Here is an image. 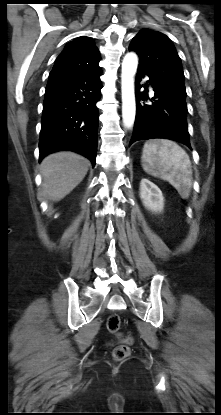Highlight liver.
I'll list each match as a JSON object with an SVG mask.
<instances>
[{"label":"liver","mask_w":221,"mask_h":415,"mask_svg":"<svg viewBox=\"0 0 221 415\" xmlns=\"http://www.w3.org/2000/svg\"><path fill=\"white\" fill-rule=\"evenodd\" d=\"M89 165L86 158L69 151L48 155L40 165L44 195L60 201L84 179Z\"/></svg>","instance_id":"1"}]
</instances>
